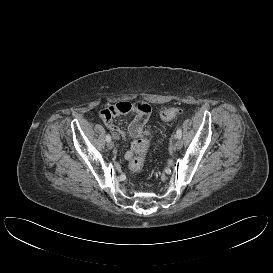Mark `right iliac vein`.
Instances as JSON below:
<instances>
[{
	"label": "right iliac vein",
	"mask_w": 273,
	"mask_h": 273,
	"mask_svg": "<svg viewBox=\"0 0 273 273\" xmlns=\"http://www.w3.org/2000/svg\"><path fill=\"white\" fill-rule=\"evenodd\" d=\"M107 147H108V149H113L114 148V143L112 142V141H108V143H107Z\"/></svg>",
	"instance_id": "right-iliac-vein-1"
}]
</instances>
